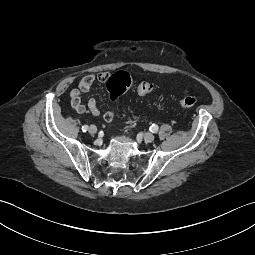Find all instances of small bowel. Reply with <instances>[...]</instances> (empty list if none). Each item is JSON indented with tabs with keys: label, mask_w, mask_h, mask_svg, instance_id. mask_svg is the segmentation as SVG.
I'll return each mask as SVG.
<instances>
[{
	"label": "small bowel",
	"mask_w": 255,
	"mask_h": 255,
	"mask_svg": "<svg viewBox=\"0 0 255 255\" xmlns=\"http://www.w3.org/2000/svg\"><path fill=\"white\" fill-rule=\"evenodd\" d=\"M108 79L107 72H100L97 75L88 74L84 76L78 83V87L70 92L71 105L75 111L78 113H84L89 111L94 116H100L101 111L97 106V101L95 98H90L85 105L81 100V94L88 92L95 81L105 82ZM103 118L106 121H111L113 119V113L111 111H106L103 114Z\"/></svg>",
	"instance_id": "1"
}]
</instances>
